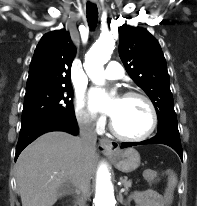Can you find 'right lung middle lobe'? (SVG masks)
<instances>
[{
    "mask_svg": "<svg viewBox=\"0 0 197 206\" xmlns=\"http://www.w3.org/2000/svg\"><path fill=\"white\" fill-rule=\"evenodd\" d=\"M71 85L26 89L21 125L46 117L75 115Z\"/></svg>",
    "mask_w": 197,
    "mask_h": 206,
    "instance_id": "obj_1",
    "label": "right lung middle lobe"
}]
</instances>
